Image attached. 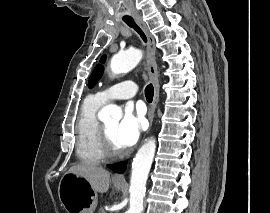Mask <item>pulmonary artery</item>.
<instances>
[{"instance_id":"1","label":"pulmonary artery","mask_w":270,"mask_h":213,"mask_svg":"<svg viewBox=\"0 0 270 213\" xmlns=\"http://www.w3.org/2000/svg\"><path fill=\"white\" fill-rule=\"evenodd\" d=\"M138 91V87L135 82L127 80L119 82L109 89L97 92L94 97L102 104L114 100V99H133Z\"/></svg>"}]
</instances>
